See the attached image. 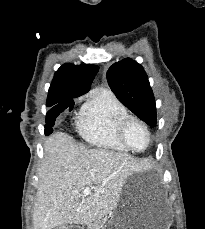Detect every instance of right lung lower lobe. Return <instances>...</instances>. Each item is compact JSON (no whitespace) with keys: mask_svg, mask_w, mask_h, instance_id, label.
<instances>
[{"mask_svg":"<svg viewBox=\"0 0 205 229\" xmlns=\"http://www.w3.org/2000/svg\"><path fill=\"white\" fill-rule=\"evenodd\" d=\"M74 106L73 100H67L61 103H58L52 109H50L46 115V125H45V135H49L53 132L52 127L55 124L56 117L63 112L66 108H69L71 111Z\"/></svg>","mask_w":205,"mask_h":229,"instance_id":"1","label":"right lung lower lobe"}]
</instances>
